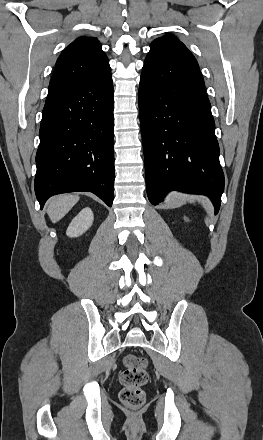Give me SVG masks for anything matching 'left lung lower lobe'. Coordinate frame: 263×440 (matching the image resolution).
Returning <instances> with one entry per match:
<instances>
[{
    "label": "left lung lower lobe",
    "instance_id": "left-lung-lower-lobe-1",
    "mask_svg": "<svg viewBox=\"0 0 263 440\" xmlns=\"http://www.w3.org/2000/svg\"><path fill=\"white\" fill-rule=\"evenodd\" d=\"M139 113L149 201L157 205L172 190L204 194L217 213L224 174L199 66L174 46L145 61Z\"/></svg>",
    "mask_w": 263,
    "mask_h": 440
}]
</instances>
